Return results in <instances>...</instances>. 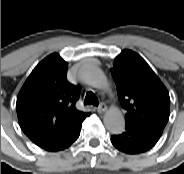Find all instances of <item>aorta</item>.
<instances>
[{
    "label": "aorta",
    "instance_id": "obj_1",
    "mask_svg": "<svg viewBox=\"0 0 184 174\" xmlns=\"http://www.w3.org/2000/svg\"><path fill=\"white\" fill-rule=\"evenodd\" d=\"M88 83L96 88L107 86V80L99 68L93 66L87 73ZM104 125L113 134H119L124 131L125 119L118 108H111L104 114Z\"/></svg>",
    "mask_w": 184,
    "mask_h": 174
}]
</instances>
